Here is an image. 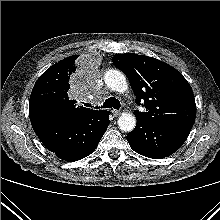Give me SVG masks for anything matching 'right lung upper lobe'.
Listing matches in <instances>:
<instances>
[{"label":"right lung upper lobe","instance_id":"1","mask_svg":"<svg viewBox=\"0 0 220 220\" xmlns=\"http://www.w3.org/2000/svg\"><path fill=\"white\" fill-rule=\"evenodd\" d=\"M77 58L78 55L67 57L51 66L39 77L30 96V118L38 115H53L66 119H79L98 112L76 106L77 101L68 97L69 81L76 71Z\"/></svg>","mask_w":220,"mask_h":220}]
</instances>
